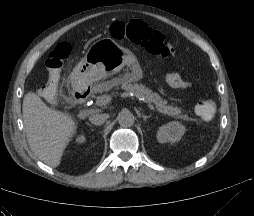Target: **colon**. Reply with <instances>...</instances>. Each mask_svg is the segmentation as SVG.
<instances>
[{
    "mask_svg": "<svg viewBox=\"0 0 254 216\" xmlns=\"http://www.w3.org/2000/svg\"><path fill=\"white\" fill-rule=\"evenodd\" d=\"M107 33L116 40H127L139 45L153 55L160 57L171 55L168 49L173 46L172 43L162 33L149 28L141 21L115 22L107 29ZM70 53L71 45L66 41L60 42L49 53L45 62L48 81L40 90L43 96L53 98L57 95L61 70ZM196 113L203 120H211L216 114V103L211 99L202 100L196 106Z\"/></svg>",
    "mask_w": 254,
    "mask_h": 216,
    "instance_id": "5ec220e1",
    "label": "colon"
}]
</instances>
